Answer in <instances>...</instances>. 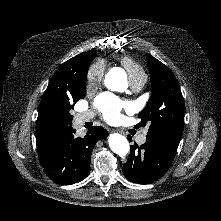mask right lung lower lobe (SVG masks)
<instances>
[{
  "label": "right lung lower lobe",
  "mask_w": 221,
  "mask_h": 221,
  "mask_svg": "<svg viewBox=\"0 0 221 221\" xmlns=\"http://www.w3.org/2000/svg\"><path fill=\"white\" fill-rule=\"evenodd\" d=\"M75 132L70 126L58 133L48 160L42 165L46 175L58 184L70 185L85 179L95 144L108 136L107 130L95 126L84 138H76Z\"/></svg>",
  "instance_id": "98d812e1"
}]
</instances>
